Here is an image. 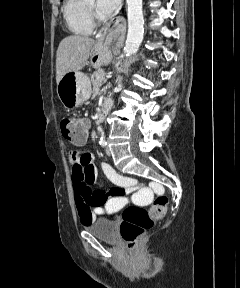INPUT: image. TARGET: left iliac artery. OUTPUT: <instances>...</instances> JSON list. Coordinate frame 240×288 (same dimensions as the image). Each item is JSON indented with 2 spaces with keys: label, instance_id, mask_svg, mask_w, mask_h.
Segmentation results:
<instances>
[{
  "label": "left iliac artery",
  "instance_id": "1",
  "mask_svg": "<svg viewBox=\"0 0 240 288\" xmlns=\"http://www.w3.org/2000/svg\"><path fill=\"white\" fill-rule=\"evenodd\" d=\"M100 145L104 147V146L107 145V142H106L105 140H101V141H100Z\"/></svg>",
  "mask_w": 240,
  "mask_h": 288
}]
</instances>
